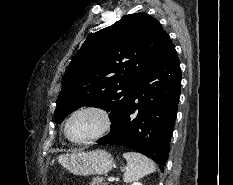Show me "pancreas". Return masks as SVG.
<instances>
[{
  "label": "pancreas",
  "instance_id": "cf45deb5",
  "mask_svg": "<svg viewBox=\"0 0 233 185\" xmlns=\"http://www.w3.org/2000/svg\"><path fill=\"white\" fill-rule=\"evenodd\" d=\"M90 185H108L107 182H105V179L103 177H94L90 183Z\"/></svg>",
  "mask_w": 233,
  "mask_h": 185
}]
</instances>
